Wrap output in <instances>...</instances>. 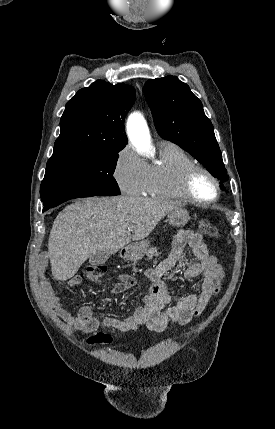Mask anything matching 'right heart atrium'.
<instances>
[{
	"mask_svg": "<svg viewBox=\"0 0 275 429\" xmlns=\"http://www.w3.org/2000/svg\"><path fill=\"white\" fill-rule=\"evenodd\" d=\"M113 175L124 193L138 196L146 191L149 166L130 146H124L116 155Z\"/></svg>",
	"mask_w": 275,
	"mask_h": 429,
	"instance_id": "obj_1",
	"label": "right heart atrium"
}]
</instances>
